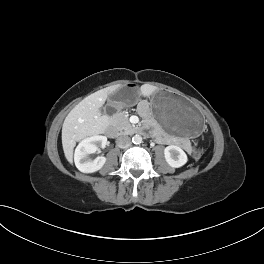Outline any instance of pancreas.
<instances>
[{
  "label": "pancreas",
  "mask_w": 264,
  "mask_h": 264,
  "mask_svg": "<svg viewBox=\"0 0 264 264\" xmlns=\"http://www.w3.org/2000/svg\"><path fill=\"white\" fill-rule=\"evenodd\" d=\"M113 124L119 131H124L125 133H128L133 129V125L130 124L128 116L125 112H118L114 114Z\"/></svg>",
  "instance_id": "obj_1"
}]
</instances>
